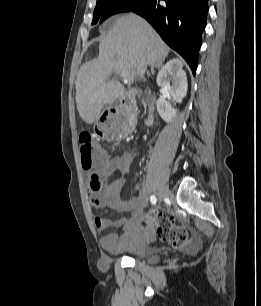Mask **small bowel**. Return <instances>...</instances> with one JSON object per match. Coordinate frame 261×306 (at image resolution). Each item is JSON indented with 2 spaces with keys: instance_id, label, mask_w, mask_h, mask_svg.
Wrapping results in <instances>:
<instances>
[{
  "instance_id": "small-bowel-1",
  "label": "small bowel",
  "mask_w": 261,
  "mask_h": 306,
  "mask_svg": "<svg viewBox=\"0 0 261 306\" xmlns=\"http://www.w3.org/2000/svg\"><path fill=\"white\" fill-rule=\"evenodd\" d=\"M131 161L132 155L130 153H124L114 158L105 156L101 161L100 168L101 191L97 195H91L89 199V207L91 209L109 207L121 213H129L128 217L120 216L114 219L107 217L94 218V225L98 231L109 227L121 229L120 234L110 232L100 238L101 247L113 254L132 250L140 242H143L139 234L144 208L147 204L146 196L140 188H137L134 198L126 201L120 197ZM146 234H151V231H147Z\"/></svg>"
}]
</instances>
